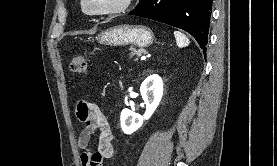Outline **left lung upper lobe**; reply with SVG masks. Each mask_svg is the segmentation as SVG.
<instances>
[{"label": "left lung upper lobe", "instance_id": "left-lung-upper-lobe-1", "mask_svg": "<svg viewBox=\"0 0 277 166\" xmlns=\"http://www.w3.org/2000/svg\"><path fill=\"white\" fill-rule=\"evenodd\" d=\"M144 2H146V0H140V2H139V4L137 5V7L140 6V5H142Z\"/></svg>", "mask_w": 277, "mask_h": 166}]
</instances>
